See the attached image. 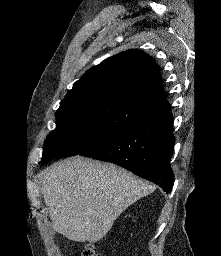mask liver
Instances as JSON below:
<instances>
[{
	"label": "liver",
	"instance_id": "liver-1",
	"mask_svg": "<svg viewBox=\"0 0 221 256\" xmlns=\"http://www.w3.org/2000/svg\"><path fill=\"white\" fill-rule=\"evenodd\" d=\"M154 189L121 167L80 156L51 165L42 185L53 229L90 243L105 237L128 206Z\"/></svg>",
	"mask_w": 221,
	"mask_h": 256
}]
</instances>
